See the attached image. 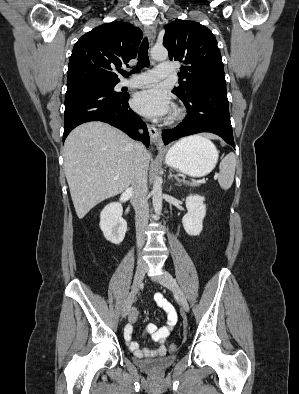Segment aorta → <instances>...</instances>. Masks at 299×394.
Masks as SVG:
<instances>
[{"instance_id":"obj_1","label":"aorta","mask_w":299,"mask_h":394,"mask_svg":"<svg viewBox=\"0 0 299 394\" xmlns=\"http://www.w3.org/2000/svg\"><path fill=\"white\" fill-rule=\"evenodd\" d=\"M151 57L156 61H163L168 58V51L164 47H153ZM162 178L155 177L152 189V203L156 216L158 217L162 211Z\"/></svg>"}]
</instances>
